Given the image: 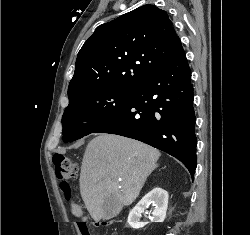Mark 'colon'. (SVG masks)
<instances>
[{
	"label": "colon",
	"mask_w": 250,
	"mask_h": 235,
	"mask_svg": "<svg viewBox=\"0 0 250 235\" xmlns=\"http://www.w3.org/2000/svg\"><path fill=\"white\" fill-rule=\"evenodd\" d=\"M53 164L56 177L60 181L64 199L70 202L72 200V192L69 180L76 178L78 174V164L73 159L60 154L53 156ZM78 227L81 235H91V224L89 222L80 220L78 222Z\"/></svg>",
	"instance_id": "colon-1"
}]
</instances>
